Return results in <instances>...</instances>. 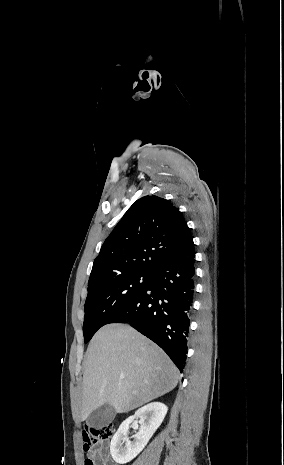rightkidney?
Wrapping results in <instances>:
<instances>
[{
	"instance_id": "1",
	"label": "right kidney",
	"mask_w": 284,
	"mask_h": 465,
	"mask_svg": "<svg viewBox=\"0 0 284 465\" xmlns=\"http://www.w3.org/2000/svg\"><path fill=\"white\" fill-rule=\"evenodd\" d=\"M167 411L168 407L163 403H149V405L138 409L135 415L123 421L110 445V453L115 463L125 465V463L135 459L160 427ZM134 419H140L138 423H140L141 427L139 433L134 435V441H129L127 433L129 425L133 423Z\"/></svg>"
}]
</instances>
